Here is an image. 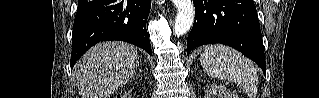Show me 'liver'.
Listing matches in <instances>:
<instances>
[{
    "label": "liver",
    "instance_id": "liver-1",
    "mask_svg": "<svg viewBox=\"0 0 319 98\" xmlns=\"http://www.w3.org/2000/svg\"><path fill=\"white\" fill-rule=\"evenodd\" d=\"M137 49L124 42H103L88 50L75 65L82 98H109L134 75Z\"/></svg>",
    "mask_w": 319,
    "mask_h": 98
}]
</instances>
